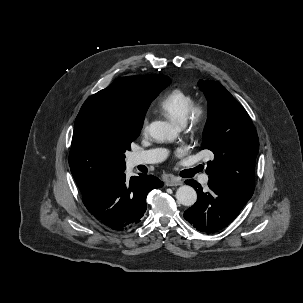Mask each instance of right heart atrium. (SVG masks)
Returning a JSON list of instances; mask_svg holds the SVG:
<instances>
[{
    "instance_id": "obj_1",
    "label": "right heart atrium",
    "mask_w": 303,
    "mask_h": 303,
    "mask_svg": "<svg viewBox=\"0 0 303 303\" xmlns=\"http://www.w3.org/2000/svg\"><path fill=\"white\" fill-rule=\"evenodd\" d=\"M148 129V122L147 119H144L141 126L142 133H146Z\"/></svg>"
}]
</instances>
